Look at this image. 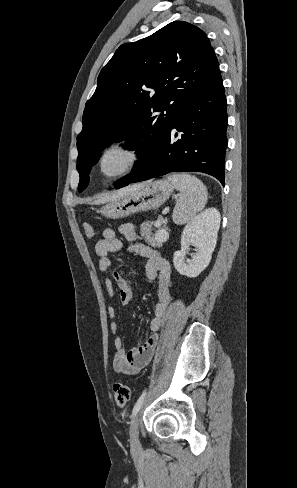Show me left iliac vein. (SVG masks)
Here are the masks:
<instances>
[{"mask_svg":"<svg viewBox=\"0 0 297 488\" xmlns=\"http://www.w3.org/2000/svg\"><path fill=\"white\" fill-rule=\"evenodd\" d=\"M130 441H131V450L132 452H138L140 449V442H139V417L134 416L131 421L130 427Z\"/></svg>","mask_w":297,"mask_h":488,"instance_id":"left-iliac-vein-1","label":"left iliac vein"}]
</instances>
